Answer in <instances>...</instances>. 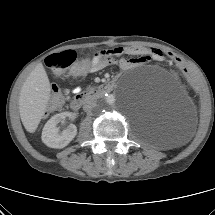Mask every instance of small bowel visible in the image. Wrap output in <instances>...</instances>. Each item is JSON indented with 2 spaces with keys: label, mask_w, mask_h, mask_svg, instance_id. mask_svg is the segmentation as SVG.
<instances>
[{
  "label": "small bowel",
  "mask_w": 215,
  "mask_h": 215,
  "mask_svg": "<svg viewBox=\"0 0 215 215\" xmlns=\"http://www.w3.org/2000/svg\"><path fill=\"white\" fill-rule=\"evenodd\" d=\"M130 55L132 58L120 59L117 62L118 67L123 70H130L138 65L149 63L152 61H163L165 60L164 51L159 48H147L142 46H127V47H115L108 50L98 52L92 58V66L87 70L91 72H97L110 64L116 62V59L123 56ZM79 87L73 88L71 91L66 89L65 94L68 96L70 92L78 93Z\"/></svg>",
  "instance_id": "c3829d8e"
}]
</instances>
